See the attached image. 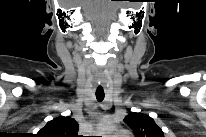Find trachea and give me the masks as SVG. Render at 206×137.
<instances>
[{
	"instance_id": "3493384b",
	"label": "trachea",
	"mask_w": 206,
	"mask_h": 137,
	"mask_svg": "<svg viewBox=\"0 0 206 137\" xmlns=\"http://www.w3.org/2000/svg\"><path fill=\"white\" fill-rule=\"evenodd\" d=\"M104 96H105V94H104V91H103V90L96 92V98H97L98 101L101 102V101L104 99Z\"/></svg>"
}]
</instances>
